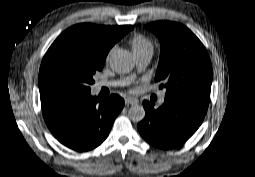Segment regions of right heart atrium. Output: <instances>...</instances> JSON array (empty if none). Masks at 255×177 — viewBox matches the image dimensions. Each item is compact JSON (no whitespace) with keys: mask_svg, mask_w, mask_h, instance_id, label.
<instances>
[{"mask_svg":"<svg viewBox=\"0 0 255 177\" xmlns=\"http://www.w3.org/2000/svg\"><path fill=\"white\" fill-rule=\"evenodd\" d=\"M113 48H111L109 51H108V53H107V56H106V58L108 59L109 58V56L111 55V53L113 52Z\"/></svg>","mask_w":255,"mask_h":177,"instance_id":"obj_1","label":"right heart atrium"}]
</instances>
